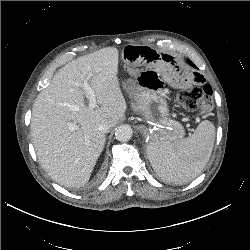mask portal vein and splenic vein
<instances>
[{
  "label": "portal vein and splenic vein",
  "instance_id": "obj_1",
  "mask_svg": "<svg viewBox=\"0 0 250 250\" xmlns=\"http://www.w3.org/2000/svg\"><path fill=\"white\" fill-rule=\"evenodd\" d=\"M91 76H92V74L89 73L87 75V77L85 78L84 82L79 84V86L82 87L84 89V91H85L86 97L89 100V108L93 109V108H95L97 106V101H96L95 92L93 91V89L88 84V80L90 79Z\"/></svg>",
  "mask_w": 250,
  "mask_h": 250
}]
</instances>
